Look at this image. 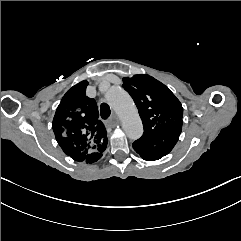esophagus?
<instances>
[{
  "label": "esophagus",
  "mask_w": 241,
  "mask_h": 241,
  "mask_svg": "<svg viewBox=\"0 0 241 241\" xmlns=\"http://www.w3.org/2000/svg\"><path fill=\"white\" fill-rule=\"evenodd\" d=\"M112 122L110 123V125L112 126V127H114L115 125H116V123L118 122V118H117V116H116V114L115 113H113L112 114Z\"/></svg>",
  "instance_id": "34e87169"
}]
</instances>
